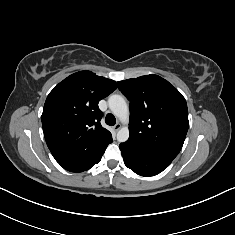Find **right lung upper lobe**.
Listing matches in <instances>:
<instances>
[{"label": "right lung upper lobe", "mask_w": 235, "mask_h": 235, "mask_svg": "<svg viewBox=\"0 0 235 235\" xmlns=\"http://www.w3.org/2000/svg\"><path fill=\"white\" fill-rule=\"evenodd\" d=\"M116 88L111 79L80 71L49 93L41 119L47 146L59 164L93 156L112 141L100 124L98 103Z\"/></svg>", "instance_id": "1"}]
</instances>
